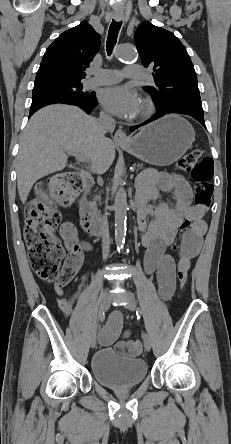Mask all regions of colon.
<instances>
[{
    "instance_id": "colon-1",
    "label": "colon",
    "mask_w": 231,
    "mask_h": 444,
    "mask_svg": "<svg viewBox=\"0 0 231 444\" xmlns=\"http://www.w3.org/2000/svg\"><path fill=\"white\" fill-rule=\"evenodd\" d=\"M177 166L192 176L196 204L208 206L212 197L211 159L204 156L203 150L192 149L178 161ZM82 189L83 182L79 175L62 173L50 176L32 201L25 221L24 239L32 269L43 281L54 283L57 289H62L73 279L83 259V254L79 251H69L66 254L56 237L55 231L61 221L57 207L70 205ZM189 226L188 222H184L181 229ZM177 277L183 287L187 282V271L179 270ZM127 348L132 353H138L141 344L134 341Z\"/></svg>"
}]
</instances>
